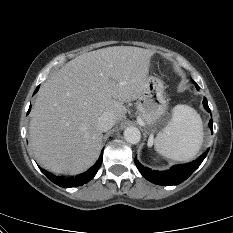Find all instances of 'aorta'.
Wrapping results in <instances>:
<instances>
[{"label":"aorta","mask_w":233,"mask_h":233,"mask_svg":"<svg viewBox=\"0 0 233 233\" xmlns=\"http://www.w3.org/2000/svg\"><path fill=\"white\" fill-rule=\"evenodd\" d=\"M124 138L128 143L137 144L141 139V133L137 127L130 126L124 130Z\"/></svg>","instance_id":"aorta-1"}]
</instances>
